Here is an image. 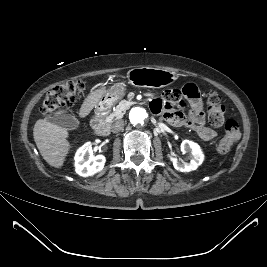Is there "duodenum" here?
<instances>
[{
  "label": "duodenum",
  "mask_w": 267,
  "mask_h": 267,
  "mask_svg": "<svg viewBox=\"0 0 267 267\" xmlns=\"http://www.w3.org/2000/svg\"><path fill=\"white\" fill-rule=\"evenodd\" d=\"M91 126L96 135L104 136L108 133V124L103 120L100 112L93 115L91 120Z\"/></svg>",
  "instance_id": "410a0bca"
}]
</instances>
